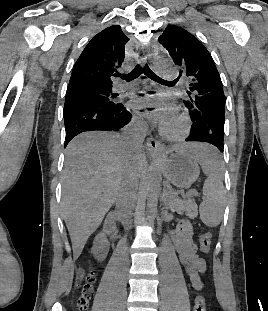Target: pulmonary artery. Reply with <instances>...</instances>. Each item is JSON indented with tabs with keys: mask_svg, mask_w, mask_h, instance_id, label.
<instances>
[{
	"mask_svg": "<svg viewBox=\"0 0 268 311\" xmlns=\"http://www.w3.org/2000/svg\"><path fill=\"white\" fill-rule=\"evenodd\" d=\"M176 76H177V72H176V70H174V69H168V70H166V71L163 72V77H164L165 79H168V80H169V79H173V78H175ZM127 87H128L127 85L119 84V85L116 86V89H117L118 91H122V90H125Z\"/></svg>",
	"mask_w": 268,
	"mask_h": 311,
	"instance_id": "1",
	"label": "pulmonary artery"
}]
</instances>
